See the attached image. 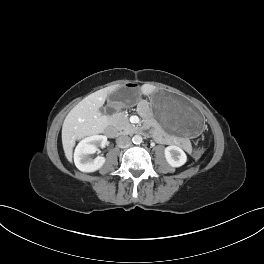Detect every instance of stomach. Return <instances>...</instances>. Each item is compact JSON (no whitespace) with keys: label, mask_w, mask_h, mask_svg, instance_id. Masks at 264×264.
Here are the masks:
<instances>
[{"label":"stomach","mask_w":264,"mask_h":264,"mask_svg":"<svg viewBox=\"0 0 264 264\" xmlns=\"http://www.w3.org/2000/svg\"><path fill=\"white\" fill-rule=\"evenodd\" d=\"M134 88L125 85L109 94L108 101L115 108L133 106L138 102L132 96ZM152 117L163 130L174 137L192 139L198 137L204 127V117L186 98L167 90H155L146 103Z\"/></svg>","instance_id":"stomach-1"}]
</instances>
